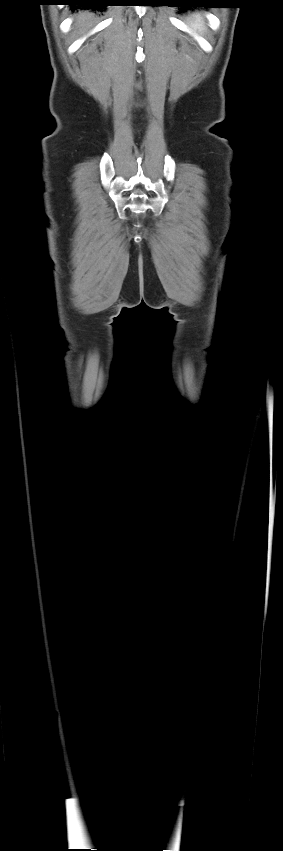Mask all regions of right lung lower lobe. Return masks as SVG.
I'll use <instances>...</instances> for the list:
<instances>
[{
    "label": "right lung lower lobe",
    "mask_w": 283,
    "mask_h": 851,
    "mask_svg": "<svg viewBox=\"0 0 283 851\" xmlns=\"http://www.w3.org/2000/svg\"><path fill=\"white\" fill-rule=\"evenodd\" d=\"M64 1H68V2H71L70 4H72V5L76 4V5H79V6L80 5L108 6V4H106L107 0H64Z\"/></svg>",
    "instance_id": "right-lung-lower-lobe-1"
}]
</instances>
